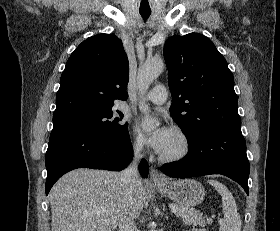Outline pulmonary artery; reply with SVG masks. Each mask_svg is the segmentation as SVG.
Listing matches in <instances>:
<instances>
[{"mask_svg": "<svg viewBox=\"0 0 280 231\" xmlns=\"http://www.w3.org/2000/svg\"><path fill=\"white\" fill-rule=\"evenodd\" d=\"M168 92L163 85L154 87L147 95L144 96V101H150L157 105H162L167 101Z\"/></svg>", "mask_w": 280, "mask_h": 231, "instance_id": "1", "label": "pulmonary artery"}]
</instances>
